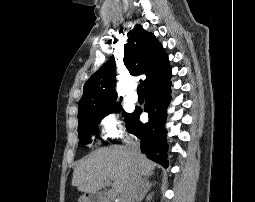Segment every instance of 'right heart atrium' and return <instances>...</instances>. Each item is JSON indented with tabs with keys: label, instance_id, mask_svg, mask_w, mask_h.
<instances>
[{
	"label": "right heart atrium",
	"instance_id": "1",
	"mask_svg": "<svg viewBox=\"0 0 255 202\" xmlns=\"http://www.w3.org/2000/svg\"><path fill=\"white\" fill-rule=\"evenodd\" d=\"M102 138L105 141L113 140L123 134V124L120 115L115 111L106 112L100 119Z\"/></svg>",
	"mask_w": 255,
	"mask_h": 202
}]
</instances>
